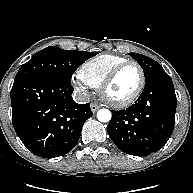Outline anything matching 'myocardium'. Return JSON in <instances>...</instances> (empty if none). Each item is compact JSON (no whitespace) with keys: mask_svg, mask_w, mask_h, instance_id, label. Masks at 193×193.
<instances>
[{"mask_svg":"<svg viewBox=\"0 0 193 193\" xmlns=\"http://www.w3.org/2000/svg\"><path fill=\"white\" fill-rule=\"evenodd\" d=\"M128 66H135L140 74V82L139 85L137 87V89L135 90V92L129 96L128 98L124 99V100H113L111 99L108 95H107V91L108 88L110 87V85L113 83V81L115 80V78L117 77V75L126 67ZM145 82H146V78H145V73L143 68L141 67L140 64H138L135 61H127L124 62L120 65H118L117 67H115L103 80V82L101 83L100 87H99V94L101 99L109 106L113 107V108H126L128 106H130L131 104H133L141 95L144 87H145Z\"/></svg>","mask_w":193,"mask_h":193,"instance_id":"obj_1","label":"myocardium"}]
</instances>
